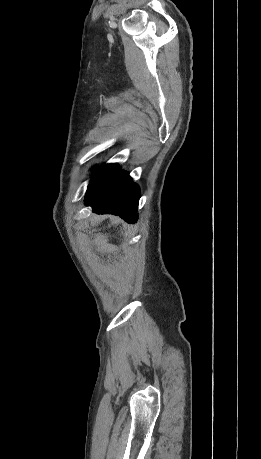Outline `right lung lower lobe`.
Segmentation results:
<instances>
[{
	"mask_svg": "<svg viewBox=\"0 0 261 459\" xmlns=\"http://www.w3.org/2000/svg\"><path fill=\"white\" fill-rule=\"evenodd\" d=\"M139 188L132 182L128 173L119 168L92 195L85 199L87 206H92L98 214L119 215L127 222H136Z\"/></svg>",
	"mask_w": 261,
	"mask_h": 459,
	"instance_id": "obj_1",
	"label": "right lung lower lobe"
}]
</instances>
